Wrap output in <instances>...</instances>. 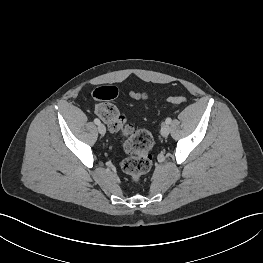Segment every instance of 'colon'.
Instances as JSON below:
<instances>
[{"label":"colon","instance_id":"colon-1","mask_svg":"<svg viewBox=\"0 0 263 263\" xmlns=\"http://www.w3.org/2000/svg\"><path fill=\"white\" fill-rule=\"evenodd\" d=\"M117 94V89L113 86L96 87L92 92V97L97 102L95 112L111 133L123 139V149L128 156L122 161L121 169L130 181L138 183L152 167L153 137L149 131L132 125L110 102ZM169 102L179 105L185 103L186 98L171 96Z\"/></svg>","mask_w":263,"mask_h":263}]
</instances>
